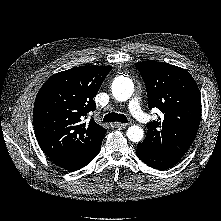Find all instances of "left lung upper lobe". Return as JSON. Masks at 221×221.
<instances>
[{"label":"left lung upper lobe","mask_w":221,"mask_h":221,"mask_svg":"<svg viewBox=\"0 0 221 221\" xmlns=\"http://www.w3.org/2000/svg\"><path fill=\"white\" fill-rule=\"evenodd\" d=\"M145 82L149 109L163 117L147 124L142 142L148 148L181 159L195 139L201 118V96L193 77L183 68L167 63H135Z\"/></svg>","instance_id":"left-lung-upper-lobe-1"}]
</instances>
